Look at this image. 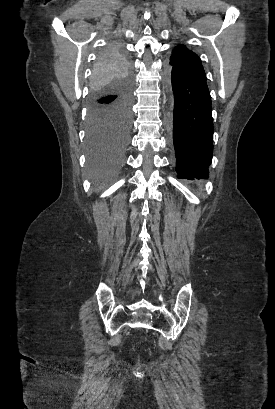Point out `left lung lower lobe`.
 <instances>
[{
  "label": "left lung lower lobe",
  "instance_id": "0a47b994",
  "mask_svg": "<svg viewBox=\"0 0 275 409\" xmlns=\"http://www.w3.org/2000/svg\"><path fill=\"white\" fill-rule=\"evenodd\" d=\"M173 120L169 121L178 179H207L213 153L211 96L206 78L171 67Z\"/></svg>",
  "mask_w": 275,
  "mask_h": 409
}]
</instances>
